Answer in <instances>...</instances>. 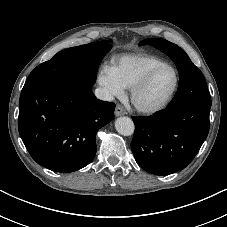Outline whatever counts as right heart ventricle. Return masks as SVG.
I'll use <instances>...</instances> for the list:
<instances>
[{
  "label": "right heart ventricle",
  "instance_id": "e07e8e85",
  "mask_svg": "<svg viewBox=\"0 0 227 227\" xmlns=\"http://www.w3.org/2000/svg\"><path fill=\"white\" fill-rule=\"evenodd\" d=\"M166 63L156 55L138 53L116 58L111 68L121 86L130 89L151 69Z\"/></svg>",
  "mask_w": 227,
  "mask_h": 227
}]
</instances>
